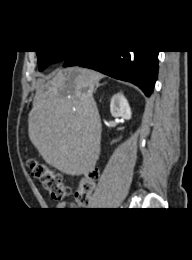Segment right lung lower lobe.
<instances>
[{
    "label": "right lung lower lobe",
    "instance_id": "obj_1",
    "mask_svg": "<svg viewBox=\"0 0 192 260\" xmlns=\"http://www.w3.org/2000/svg\"><path fill=\"white\" fill-rule=\"evenodd\" d=\"M63 66H83L132 82L150 96L158 73V51L73 52L64 60Z\"/></svg>",
    "mask_w": 192,
    "mask_h": 260
}]
</instances>
